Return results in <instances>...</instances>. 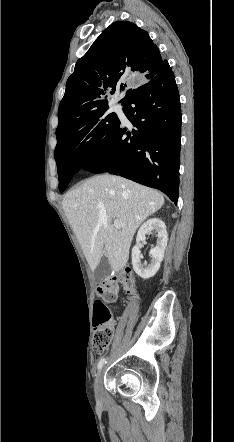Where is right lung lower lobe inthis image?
I'll use <instances>...</instances> for the list:
<instances>
[{
	"instance_id": "right-lung-lower-lobe-1",
	"label": "right lung lower lobe",
	"mask_w": 234,
	"mask_h": 442,
	"mask_svg": "<svg viewBox=\"0 0 234 442\" xmlns=\"http://www.w3.org/2000/svg\"><path fill=\"white\" fill-rule=\"evenodd\" d=\"M122 105L134 129L128 130L118 121L105 144L82 168L120 175L156 188L177 202L181 110L169 64L138 87Z\"/></svg>"
}]
</instances>
